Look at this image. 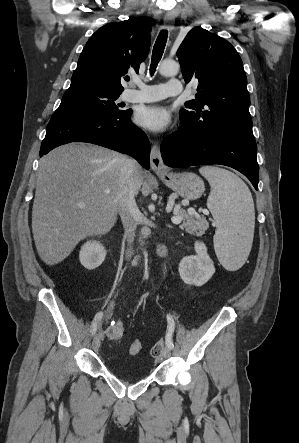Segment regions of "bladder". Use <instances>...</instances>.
Listing matches in <instances>:
<instances>
[{
  "instance_id": "obj_1",
  "label": "bladder",
  "mask_w": 299,
  "mask_h": 443,
  "mask_svg": "<svg viewBox=\"0 0 299 443\" xmlns=\"http://www.w3.org/2000/svg\"><path fill=\"white\" fill-rule=\"evenodd\" d=\"M108 369L112 374L126 382H137L147 376V371L142 366L138 365H131L128 369L123 370L109 364Z\"/></svg>"
}]
</instances>
